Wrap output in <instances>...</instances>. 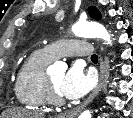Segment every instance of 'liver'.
Masks as SVG:
<instances>
[{"mask_svg":"<svg viewBox=\"0 0 133 118\" xmlns=\"http://www.w3.org/2000/svg\"><path fill=\"white\" fill-rule=\"evenodd\" d=\"M45 118V115L41 112L27 110L24 108H14L5 111L2 114V118Z\"/></svg>","mask_w":133,"mask_h":118,"instance_id":"liver-1","label":"liver"}]
</instances>
